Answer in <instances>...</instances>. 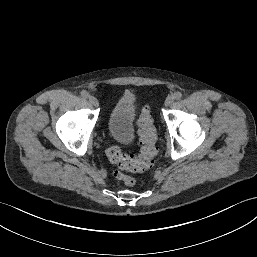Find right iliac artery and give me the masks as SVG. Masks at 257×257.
Returning a JSON list of instances; mask_svg holds the SVG:
<instances>
[{
	"instance_id": "82829eb1",
	"label": "right iliac artery",
	"mask_w": 257,
	"mask_h": 257,
	"mask_svg": "<svg viewBox=\"0 0 257 257\" xmlns=\"http://www.w3.org/2000/svg\"><path fill=\"white\" fill-rule=\"evenodd\" d=\"M81 96L83 98H88L90 95H89V93L87 91L83 90V91H81Z\"/></svg>"
}]
</instances>
